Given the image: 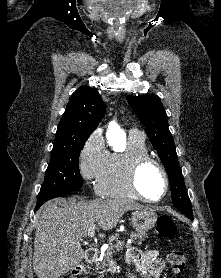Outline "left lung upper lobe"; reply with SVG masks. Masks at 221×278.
Segmentation results:
<instances>
[{
  "label": "left lung upper lobe",
  "instance_id": "left-lung-upper-lobe-1",
  "mask_svg": "<svg viewBox=\"0 0 221 278\" xmlns=\"http://www.w3.org/2000/svg\"><path fill=\"white\" fill-rule=\"evenodd\" d=\"M127 101L145 127V131L167 171L175 207H191L182 171L178 163L168 118L158 96H127Z\"/></svg>",
  "mask_w": 221,
  "mask_h": 278
}]
</instances>
